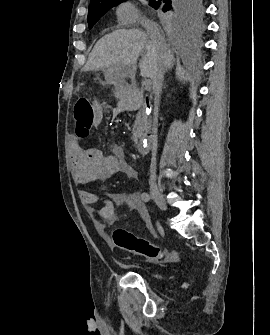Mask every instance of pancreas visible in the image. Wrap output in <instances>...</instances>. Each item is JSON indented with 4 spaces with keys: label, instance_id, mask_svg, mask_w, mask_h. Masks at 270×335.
Segmentation results:
<instances>
[{
    "label": "pancreas",
    "instance_id": "1",
    "mask_svg": "<svg viewBox=\"0 0 270 335\" xmlns=\"http://www.w3.org/2000/svg\"><path fill=\"white\" fill-rule=\"evenodd\" d=\"M149 130L150 124L145 112H139V114L136 116L135 124L133 126V136L131 140H133V142H137L138 138L143 136V132H149Z\"/></svg>",
    "mask_w": 270,
    "mask_h": 335
}]
</instances>
